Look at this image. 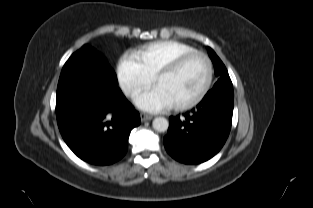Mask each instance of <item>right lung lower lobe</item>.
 Returning a JSON list of instances; mask_svg holds the SVG:
<instances>
[{"label":"right lung lower lobe","mask_w":313,"mask_h":208,"mask_svg":"<svg viewBox=\"0 0 313 208\" xmlns=\"http://www.w3.org/2000/svg\"><path fill=\"white\" fill-rule=\"evenodd\" d=\"M113 69L90 52L65 63L57 87L56 115L69 148L94 165L112 164L127 151L140 116L117 87Z\"/></svg>","instance_id":"right-lung-lower-lobe-1"}]
</instances>
